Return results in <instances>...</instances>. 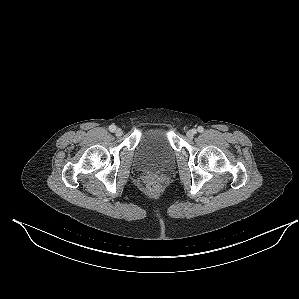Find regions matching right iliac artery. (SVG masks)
Segmentation results:
<instances>
[{"instance_id":"right-iliac-artery-1","label":"right iliac artery","mask_w":299,"mask_h":299,"mask_svg":"<svg viewBox=\"0 0 299 299\" xmlns=\"http://www.w3.org/2000/svg\"><path fill=\"white\" fill-rule=\"evenodd\" d=\"M109 130H110L111 132H114V131L116 130V126H115L114 124L110 125V126H109Z\"/></svg>"}]
</instances>
